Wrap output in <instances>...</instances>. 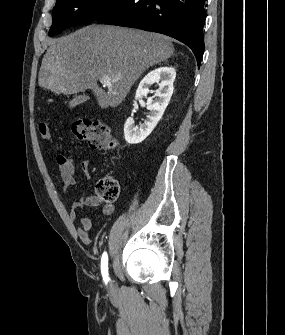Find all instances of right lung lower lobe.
Returning a JSON list of instances; mask_svg holds the SVG:
<instances>
[{"instance_id": "1", "label": "right lung lower lobe", "mask_w": 285, "mask_h": 335, "mask_svg": "<svg viewBox=\"0 0 285 335\" xmlns=\"http://www.w3.org/2000/svg\"><path fill=\"white\" fill-rule=\"evenodd\" d=\"M205 0H120L96 21L173 37L193 51L198 66L204 52Z\"/></svg>"}]
</instances>
